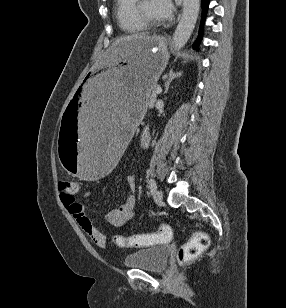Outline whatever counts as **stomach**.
<instances>
[{
  "mask_svg": "<svg viewBox=\"0 0 286 308\" xmlns=\"http://www.w3.org/2000/svg\"><path fill=\"white\" fill-rule=\"evenodd\" d=\"M162 36H133L94 60L60 118L58 153L65 173L81 182H104L124 159L129 132H136L148 93L169 54Z\"/></svg>",
  "mask_w": 286,
  "mask_h": 308,
  "instance_id": "1",
  "label": "stomach"
}]
</instances>
